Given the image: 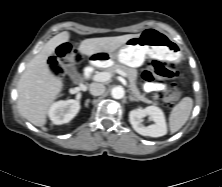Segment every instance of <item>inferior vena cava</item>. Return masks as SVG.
Wrapping results in <instances>:
<instances>
[{"label": "inferior vena cava", "mask_w": 222, "mask_h": 187, "mask_svg": "<svg viewBox=\"0 0 222 187\" xmlns=\"http://www.w3.org/2000/svg\"><path fill=\"white\" fill-rule=\"evenodd\" d=\"M89 91L93 96H99L105 92V86L101 83H92L90 84Z\"/></svg>", "instance_id": "inferior-vena-cava-1"}]
</instances>
